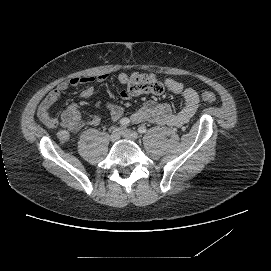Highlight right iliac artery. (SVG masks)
I'll return each instance as SVG.
<instances>
[{
  "label": "right iliac artery",
  "mask_w": 271,
  "mask_h": 271,
  "mask_svg": "<svg viewBox=\"0 0 271 271\" xmlns=\"http://www.w3.org/2000/svg\"><path fill=\"white\" fill-rule=\"evenodd\" d=\"M122 127H126L130 124V120L128 118H122L119 123Z\"/></svg>",
  "instance_id": "right-iliac-artery-1"
}]
</instances>
